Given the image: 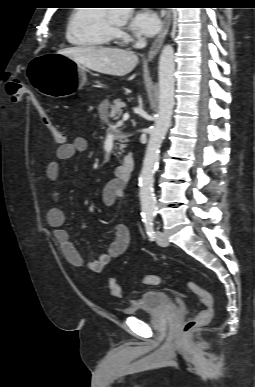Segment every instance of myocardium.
I'll return each instance as SVG.
<instances>
[{
    "mask_svg": "<svg viewBox=\"0 0 255 387\" xmlns=\"http://www.w3.org/2000/svg\"><path fill=\"white\" fill-rule=\"evenodd\" d=\"M109 23H110V25H111V27L113 28V29H115L116 28V26L109 20Z\"/></svg>",
    "mask_w": 255,
    "mask_h": 387,
    "instance_id": "f54148a6",
    "label": "myocardium"
}]
</instances>
